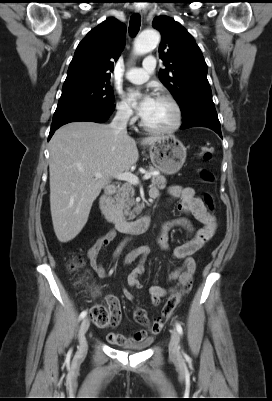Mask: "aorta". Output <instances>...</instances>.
Masks as SVG:
<instances>
[{"label":"aorta","mask_w":272,"mask_h":401,"mask_svg":"<svg viewBox=\"0 0 272 401\" xmlns=\"http://www.w3.org/2000/svg\"><path fill=\"white\" fill-rule=\"evenodd\" d=\"M160 42V35L156 30L143 31L135 41L134 52L138 55L152 51Z\"/></svg>","instance_id":"aorta-1"}]
</instances>
